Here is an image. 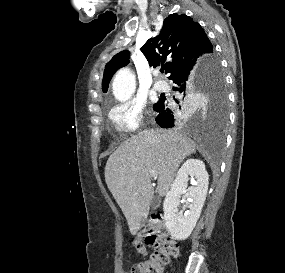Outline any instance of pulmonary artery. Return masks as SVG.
<instances>
[{
  "label": "pulmonary artery",
  "mask_w": 285,
  "mask_h": 273,
  "mask_svg": "<svg viewBox=\"0 0 285 273\" xmlns=\"http://www.w3.org/2000/svg\"><path fill=\"white\" fill-rule=\"evenodd\" d=\"M156 76H158V72H156ZM168 87V83L161 79H157L154 83V88L159 92L166 91Z\"/></svg>",
  "instance_id": "e3ab8cb5"
}]
</instances>
